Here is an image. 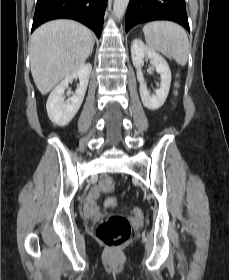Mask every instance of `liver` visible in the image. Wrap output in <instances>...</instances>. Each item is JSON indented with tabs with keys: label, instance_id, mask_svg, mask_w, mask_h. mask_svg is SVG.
<instances>
[{
	"label": "liver",
	"instance_id": "obj_1",
	"mask_svg": "<svg viewBox=\"0 0 229 280\" xmlns=\"http://www.w3.org/2000/svg\"><path fill=\"white\" fill-rule=\"evenodd\" d=\"M92 32L72 20H54L37 28L30 38V68L42 95L79 70L94 46Z\"/></svg>",
	"mask_w": 229,
	"mask_h": 280
}]
</instances>
